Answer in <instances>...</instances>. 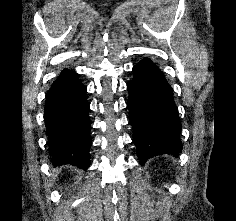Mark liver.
<instances>
[{
	"label": "liver",
	"mask_w": 236,
	"mask_h": 221,
	"mask_svg": "<svg viewBox=\"0 0 236 221\" xmlns=\"http://www.w3.org/2000/svg\"><path fill=\"white\" fill-rule=\"evenodd\" d=\"M57 173H58V171L55 172V174H54V178L57 176Z\"/></svg>",
	"instance_id": "obj_1"
}]
</instances>
